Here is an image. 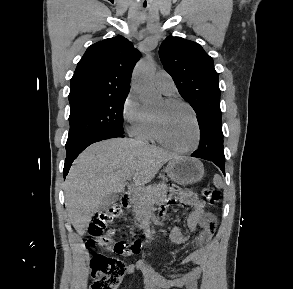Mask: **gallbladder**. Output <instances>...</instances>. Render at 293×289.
Segmentation results:
<instances>
[{"label": "gallbladder", "instance_id": "1", "mask_svg": "<svg viewBox=\"0 0 293 289\" xmlns=\"http://www.w3.org/2000/svg\"><path fill=\"white\" fill-rule=\"evenodd\" d=\"M119 199V195L117 193H110L108 194L106 197H104V199L102 200L101 205L99 206L100 210H105L107 209L109 206H111L113 203H115L116 201H118Z\"/></svg>", "mask_w": 293, "mask_h": 289}]
</instances>
